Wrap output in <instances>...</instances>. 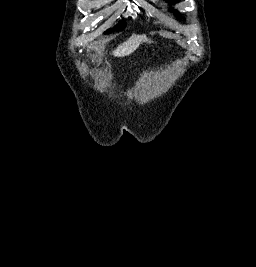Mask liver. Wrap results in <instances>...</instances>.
Listing matches in <instances>:
<instances>
[{
	"label": "liver",
	"mask_w": 256,
	"mask_h": 267,
	"mask_svg": "<svg viewBox=\"0 0 256 267\" xmlns=\"http://www.w3.org/2000/svg\"><path fill=\"white\" fill-rule=\"evenodd\" d=\"M143 42H148L150 44L148 38L142 34V36H136V34H133L131 38H128L126 42H123V44H120L116 50H113V56L115 58H124V56H130V54H133L137 48H139L140 44H143Z\"/></svg>",
	"instance_id": "liver-1"
}]
</instances>
